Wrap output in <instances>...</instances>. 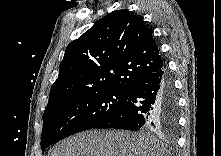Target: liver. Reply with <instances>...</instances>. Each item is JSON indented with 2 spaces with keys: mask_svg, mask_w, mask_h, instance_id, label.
<instances>
[{
  "mask_svg": "<svg viewBox=\"0 0 221 156\" xmlns=\"http://www.w3.org/2000/svg\"><path fill=\"white\" fill-rule=\"evenodd\" d=\"M164 145L150 135L89 130L60 141L49 156H163Z\"/></svg>",
  "mask_w": 221,
  "mask_h": 156,
  "instance_id": "6515ba94",
  "label": "liver"
}]
</instances>
